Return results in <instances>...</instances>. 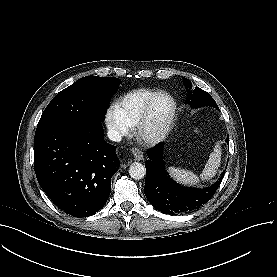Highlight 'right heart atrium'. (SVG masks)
Masks as SVG:
<instances>
[{"label": "right heart atrium", "instance_id": "obj_1", "mask_svg": "<svg viewBox=\"0 0 277 277\" xmlns=\"http://www.w3.org/2000/svg\"><path fill=\"white\" fill-rule=\"evenodd\" d=\"M106 125L114 137H122L128 134L129 125L124 121L115 106H110L106 111Z\"/></svg>", "mask_w": 277, "mask_h": 277}]
</instances>
